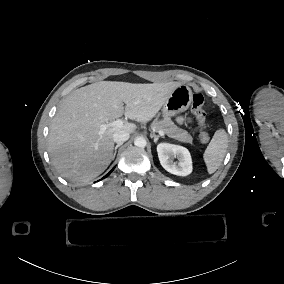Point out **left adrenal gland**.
Returning <instances> with one entry per match:
<instances>
[{
  "mask_svg": "<svg viewBox=\"0 0 284 284\" xmlns=\"http://www.w3.org/2000/svg\"><path fill=\"white\" fill-rule=\"evenodd\" d=\"M150 136H151V138H154V142H155V143H157L158 140H159V138H161L159 135H155V134H152V135H150Z\"/></svg>",
  "mask_w": 284,
  "mask_h": 284,
  "instance_id": "a2214340",
  "label": "left adrenal gland"
}]
</instances>
